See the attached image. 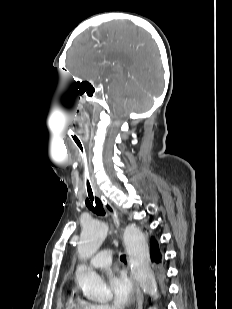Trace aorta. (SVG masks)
<instances>
[{
    "mask_svg": "<svg viewBox=\"0 0 232 309\" xmlns=\"http://www.w3.org/2000/svg\"><path fill=\"white\" fill-rule=\"evenodd\" d=\"M106 235V223L96 219L85 223L77 247L79 257L87 259L94 255L101 247ZM124 244L134 278L145 293L156 299L157 284L150 267L149 249L144 233L135 225L127 226L124 231ZM75 279L88 299L99 302L109 299L110 290L105 281L95 272L79 267Z\"/></svg>",
    "mask_w": 232,
    "mask_h": 309,
    "instance_id": "aorta-1",
    "label": "aorta"
}]
</instances>
